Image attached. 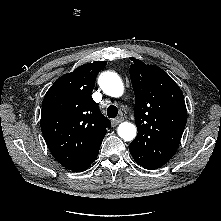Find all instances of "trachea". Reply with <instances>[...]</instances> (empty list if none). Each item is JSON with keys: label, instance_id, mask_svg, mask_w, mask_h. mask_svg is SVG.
Masks as SVG:
<instances>
[{"label": "trachea", "instance_id": "obj_1", "mask_svg": "<svg viewBox=\"0 0 221 221\" xmlns=\"http://www.w3.org/2000/svg\"><path fill=\"white\" fill-rule=\"evenodd\" d=\"M107 115L109 118H115L118 115V109L114 105H110L107 108Z\"/></svg>", "mask_w": 221, "mask_h": 221}]
</instances>
